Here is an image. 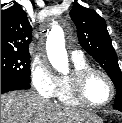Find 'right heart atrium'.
Returning <instances> with one entry per match:
<instances>
[{"label": "right heart atrium", "mask_w": 122, "mask_h": 123, "mask_svg": "<svg viewBox=\"0 0 122 123\" xmlns=\"http://www.w3.org/2000/svg\"><path fill=\"white\" fill-rule=\"evenodd\" d=\"M30 79L35 91L44 98H52L56 95L58 76L53 72L49 63L36 57L30 65Z\"/></svg>", "instance_id": "right-heart-atrium-1"}]
</instances>
